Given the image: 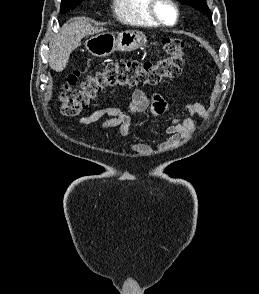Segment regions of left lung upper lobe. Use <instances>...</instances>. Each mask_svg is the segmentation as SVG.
<instances>
[{
  "label": "left lung upper lobe",
  "instance_id": "5c2ea615",
  "mask_svg": "<svg viewBox=\"0 0 259 294\" xmlns=\"http://www.w3.org/2000/svg\"><path fill=\"white\" fill-rule=\"evenodd\" d=\"M178 1H180L184 5H189L193 7L194 9H197L198 11L208 15L209 20L212 22V16L206 4V0H178Z\"/></svg>",
  "mask_w": 259,
  "mask_h": 294
}]
</instances>
